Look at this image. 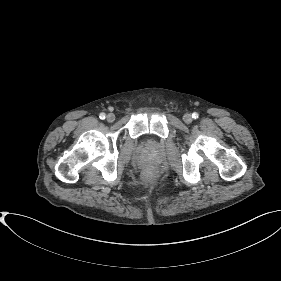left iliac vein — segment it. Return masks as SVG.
Here are the masks:
<instances>
[{
    "instance_id": "obj_1",
    "label": "left iliac vein",
    "mask_w": 281,
    "mask_h": 281,
    "mask_svg": "<svg viewBox=\"0 0 281 281\" xmlns=\"http://www.w3.org/2000/svg\"><path fill=\"white\" fill-rule=\"evenodd\" d=\"M192 120H193V119H192L191 114H189V113L184 114V116H183V121H184L185 123L189 124V123L192 122Z\"/></svg>"
}]
</instances>
